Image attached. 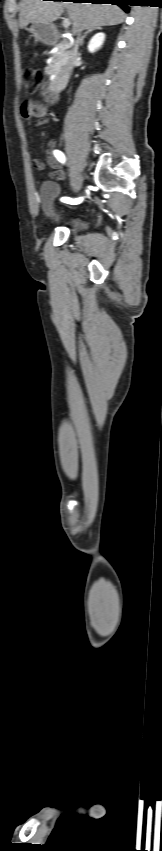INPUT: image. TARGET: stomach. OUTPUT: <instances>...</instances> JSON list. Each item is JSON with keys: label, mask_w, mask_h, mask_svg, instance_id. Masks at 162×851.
Instances as JSON below:
<instances>
[{"label": "stomach", "mask_w": 162, "mask_h": 851, "mask_svg": "<svg viewBox=\"0 0 162 851\" xmlns=\"http://www.w3.org/2000/svg\"><path fill=\"white\" fill-rule=\"evenodd\" d=\"M24 29L45 44H53L57 39L55 27L52 24L29 21Z\"/></svg>", "instance_id": "stomach-1"}]
</instances>
